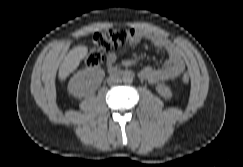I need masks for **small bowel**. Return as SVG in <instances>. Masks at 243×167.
<instances>
[{
	"label": "small bowel",
	"instance_id": "c3829d8e",
	"mask_svg": "<svg viewBox=\"0 0 243 167\" xmlns=\"http://www.w3.org/2000/svg\"><path fill=\"white\" fill-rule=\"evenodd\" d=\"M130 44L135 45L142 41H148L156 48L166 52L168 58L159 68L144 67L140 70V77L151 84L178 78L185 70V62L181 50L170 40L161 34L144 29L131 30ZM117 60V54L110 52L106 56L107 65L112 66Z\"/></svg>",
	"mask_w": 243,
	"mask_h": 167
}]
</instances>
